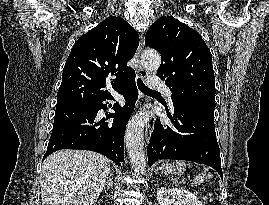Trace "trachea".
I'll list each match as a JSON object with an SVG mask.
<instances>
[{
	"label": "trachea",
	"instance_id": "obj_1",
	"mask_svg": "<svg viewBox=\"0 0 269 205\" xmlns=\"http://www.w3.org/2000/svg\"><path fill=\"white\" fill-rule=\"evenodd\" d=\"M137 85H138V88L140 89V91H142L145 94H159L160 95V92H157V91H154V90L149 89L143 83V81L140 78L137 79Z\"/></svg>",
	"mask_w": 269,
	"mask_h": 205
}]
</instances>
